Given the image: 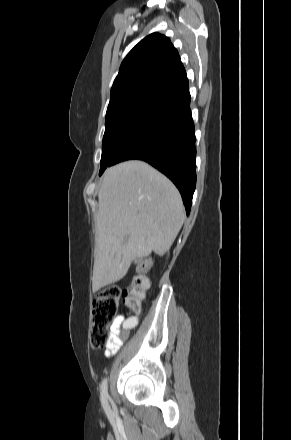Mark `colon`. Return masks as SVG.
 I'll return each instance as SVG.
<instances>
[{"mask_svg":"<svg viewBox=\"0 0 291 440\" xmlns=\"http://www.w3.org/2000/svg\"><path fill=\"white\" fill-rule=\"evenodd\" d=\"M153 264L152 259H145L141 266L148 270ZM148 289L147 276L139 274L131 277L125 288L107 286L99 292L92 304L90 320L89 338L93 348L106 347L110 343V327L117 315L119 298L124 299L132 314L139 315L143 311V301Z\"/></svg>","mask_w":291,"mask_h":440,"instance_id":"colon-1","label":"colon"}]
</instances>
